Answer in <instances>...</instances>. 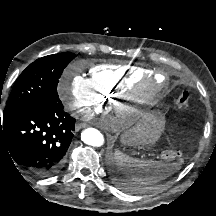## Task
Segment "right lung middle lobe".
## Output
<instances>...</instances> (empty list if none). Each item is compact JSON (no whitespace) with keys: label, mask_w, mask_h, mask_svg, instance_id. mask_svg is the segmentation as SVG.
<instances>
[{"label":"right lung middle lobe","mask_w":216,"mask_h":216,"mask_svg":"<svg viewBox=\"0 0 216 216\" xmlns=\"http://www.w3.org/2000/svg\"><path fill=\"white\" fill-rule=\"evenodd\" d=\"M70 52L48 55L31 63L18 77L8 98L3 118L36 104L59 100L57 85L65 67L74 59Z\"/></svg>","instance_id":"right-lung-middle-lobe-1"}]
</instances>
